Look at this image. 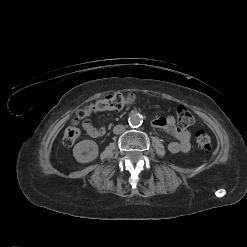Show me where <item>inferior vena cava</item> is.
Wrapping results in <instances>:
<instances>
[{
    "instance_id": "inferior-vena-cava-1",
    "label": "inferior vena cava",
    "mask_w": 247,
    "mask_h": 247,
    "mask_svg": "<svg viewBox=\"0 0 247 247\" xmlns=\"http://www.w3.org/2000/svg\"><path fill=\"white\" fill-rule=\"evenodd\" d=\"M126 130L125 126L123 125H116L114 128H113V132L117 135H120L122 133H124Z\"/></svg>"
}]
</instances>
